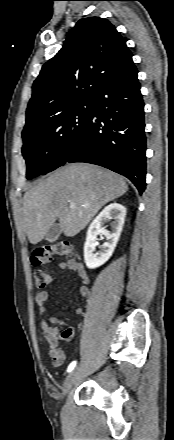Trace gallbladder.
Listing matches in <instances>:
<instances>
[{
  "mask_svg": "<svg viewBox=\"0 0 174 440\" xmlns=\"http://www.w3.org/2000/svg\"><path fill=\"white\" fill-rule=\"evenodd\" d=\"M61 232L62 231H61V228H60L59 224L58 223H54L49 228V230L47 231V233L45 235V239L48 242L53 243V242H55L58 239V237L60 236Z\"/></svg>",
  "mask_w": 174,
  "mask_h": 440,
  "instance_id": "obj_1",
  "label": "gallbladder"
}]
</instances>
